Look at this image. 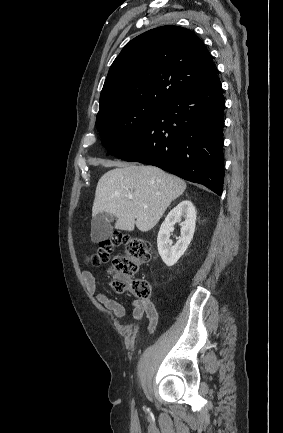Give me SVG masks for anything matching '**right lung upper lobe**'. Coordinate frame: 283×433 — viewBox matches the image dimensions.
Masks as SVG:
<instances>
[{"label": "right lung upper lobe", "mask_w": 283, "mask_h": 433, "mask_svg": "<svg viewBox=\"0 0 283 433\" xmlns=\"http://www.w3.org/2000/svg\"><path fill=\"white\" fill-rule=\"evenodd\" d=\"M218 78L210 53L192 31L173 25L132 39L110 67L99 112L132 103L165 105Z\"/></svg>", "instance_id": "right-lung-upper-lobe-1"}]
</instances>
